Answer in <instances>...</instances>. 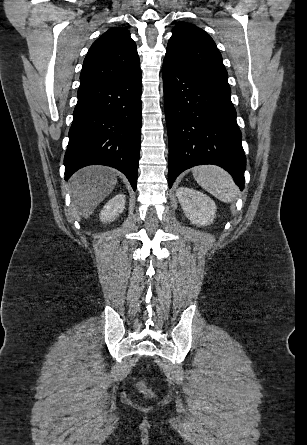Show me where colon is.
I'll return each instance as SVG.
<instances>
[{
    "label": "colon",
    "mask_w": 307,
    "mask_h": 445,
    "mask_svg": "<svg viewBox=\"0 0 307 445\" xmlns=\"http://www.w3.org/2000/svg\"><path fill=\"white\" fill-rule=\"evenodd\" d=\"M138 389H139L141 392H144V393L147 392V389H146V387H145V385H144L143 382H140V383L138 384Z\"/></svg>",
    "instance_id": "colon-1"
}]
</instances>
